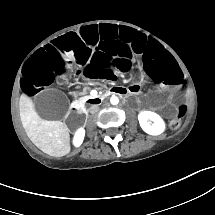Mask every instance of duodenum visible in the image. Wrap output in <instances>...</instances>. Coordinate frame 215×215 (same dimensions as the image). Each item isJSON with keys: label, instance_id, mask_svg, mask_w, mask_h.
I'll list each match as a JSON object with an SVG mask.
<instances>
[{"label": "duodenum", "instance_id": "410a0bca", "mask_svg": "<svg viewBox=\"0 0 215 215\" xmlns=\"http://www.w3.org/2000/svg\"><path fill=\"white\" fill-rule=\"evenodd\" d=\"M113 95H121V96H128V93L126 92L125 88L117 87V88H111L107 90L105 93L99 95L96 98L88 99L87 103L91 104H100L102 103L106 98L111 97ZM84 102L82 101H76V103L72 106L71 111L73 113H78L81 109V106Z\"/></svg>", "mask_w": 215, "mask_h": 215}]
</instances>
